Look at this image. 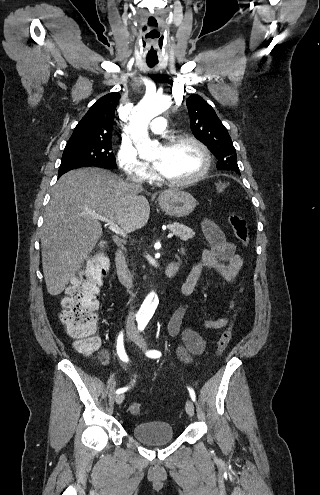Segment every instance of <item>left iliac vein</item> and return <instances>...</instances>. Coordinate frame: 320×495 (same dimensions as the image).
Listing matches in <instances>:
<instances>
[{"label": "left iliac vein", "instance_id": "1", "mask_svg": "<svg viewBox=\"0 0 320 495\" xmlns=\"http://www.w3.org/2000/svg\"><path fill=\"white\" fill-rule=\"evenodd\" d=\"M135 341H136V344L142 350H145L146 349L147 343H146L145 339L142 336H137L136 339H135ZM185 409H186L187 414L190 417H193L194 416V405H193V402L191 400H187L186 401Z\"/></svg>", "mask_w": 320, "mask_h": 495}]
</instances>
